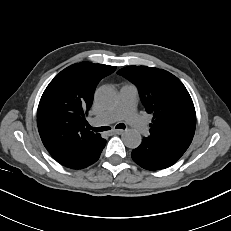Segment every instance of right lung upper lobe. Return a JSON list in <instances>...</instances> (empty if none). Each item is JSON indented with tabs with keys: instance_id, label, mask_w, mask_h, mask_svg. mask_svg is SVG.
<instances>
[{
	"instance_id": "1",
	"label": "right lung upper lobe",
	"mask_w": 231,
	"mask_h": 231,
	"mask_svg": "<svg viewBox=\"0 0 231 231\" xmlns=\"http://www.w3.org/2000/svg\"><path fill=\"white\" fill-rule=\"evenodd\" d=\"M115 66L81 62L73 64L50 82L37 110L42 142L59 163H66L96 144L100 134L87 130L85 115L99 81Z\"/></svg>"
}]
</instances>
